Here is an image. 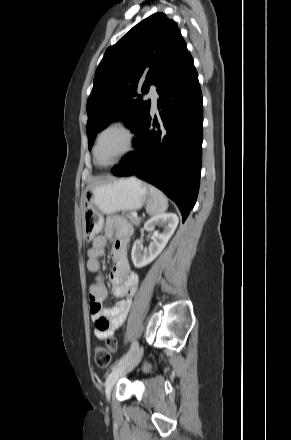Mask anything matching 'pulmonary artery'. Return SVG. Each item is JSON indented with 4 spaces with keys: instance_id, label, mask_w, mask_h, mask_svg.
<instances>
[{
    "instance_id": "1",
    "label": "pulmonary artery",
    "mask_w": 291,
    "mask_h": 440,
    "mask_svg": "<svg viewBox=\"0 0 291 440\" xmlns=\"http://www.w3.org/2000/svg\"><path fill=\"white\" fill-rule=\"evenodd\" d=\"M147 97L152 100L153 103V110H155V103L157 99V91L154 87H150L149 92L147 94Z\"/></svg>"
}]
</instances>
